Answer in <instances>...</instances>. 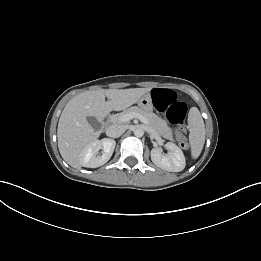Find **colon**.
<instances>
[{"mask_svg": "<svg viewBox=\"0 0 261 261\" xmlns=\"http://www.w3.org/2000/svg\"><path fill=\"white\" fill-rule=\"evenodd\" d=\"M152 100L158 111L165 112L171 123L180 126V146L188 149L183 125L187 116V104L178 99L176 93L169 89L156 88L152 91Z\"/></svg>", "mask_w": 261, "mask_h": 261, "instance_id": "5ec220e1", "label": "colon"}]
</instances>
